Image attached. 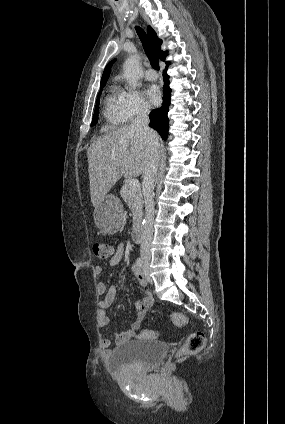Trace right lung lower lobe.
I'll return each instance as SVG.
<instances>
[{"label":"right lung lower lobe","mask_w":285,"mask_h":424,"mask_svg":"<svg viewBox=\"0 0 285 424\" xmlns=\"http://www.w3.org/2000/svg\"><path fill=\"white\" fill-rule=\"evenodd\" d=\"M169 63H167V66ZM164 78V98L163 105L161 108H158L152 111L149 115L150 123L149 126L153 129L157 130L161 137L166 140L168 136V127H169V119H168V111L170 105V96L171 89L169 87V76L167 75V68L163 72Z\"/></svg>","instance_id":"1"}]
</instances>
